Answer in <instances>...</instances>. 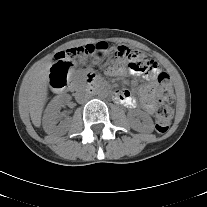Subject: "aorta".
I'll return each mask as SVG.
<instances>
[{"label":"aorta","instance_id":"obj_1","mask_svg":"<svg viewBox=\"0 0 207 207\" xmlns=\"http://www.w3.org/2000/svg\"><path fill=\"white\" fill-rule=\"evenodd\" d=\"M100 98H106L108 96V91L104 88H101L98 92Z\"/></svg>","mask_w":207,"mask_h":207}]
</instances>
